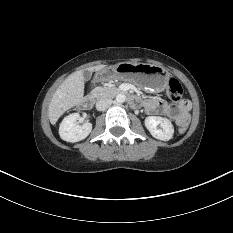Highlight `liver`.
I'll use <instances>...</instances> for the list:
<instances>
[{
	"instance_id": "obj_1",
	"label": "liver",
	"mask_w": 233,
	"mask_h": 233,
	"mask_svg": "<svg viewBox=\"0 0 233 233\" xmlns=\"http://www.w3.org/2000/svg\"><path fill=\"white\" fill-rule=\"evenodd\" d=\"M106 65H97L87 68L88 71H100ZM83 70L70 74L57 88L48 106V116L51 124H56L58 119L69 109L80 103L84 95Z\"/></svg>"
}]
</instances>
